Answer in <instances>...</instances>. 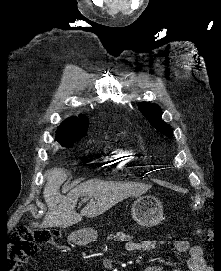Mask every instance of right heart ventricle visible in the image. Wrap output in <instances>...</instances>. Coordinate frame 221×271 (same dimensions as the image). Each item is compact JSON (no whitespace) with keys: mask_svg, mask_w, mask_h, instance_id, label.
Listing matches in <instances>:
<instances>
[{"mask_svg":"<svg viewBox=\"0 0 221 271\" xmlns=\"http://www.w3.org/2000/svg\"><path fill=\"white\" fill-rule=\"evenodd\" d=\"M123 164V161H128L132 164L134 161L130 158H126V154H118V158H108V163Z\"/></svg>","mask_w":221,"mask_h":271,"instance_id":"right-heart-ventricle-1","label":"right heart ventricle"}]
</instances>
